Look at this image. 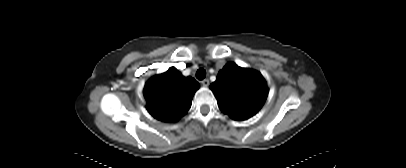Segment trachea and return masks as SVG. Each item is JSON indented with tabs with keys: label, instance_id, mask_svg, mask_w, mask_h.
<instances>
[{
	"label": "trachea",
	"instance_id": "1",
	"mask_svg": "<svg viewBox=\"0 0 406 168\" xmlns=\"http://www.w3.org/2000/svg\"><path fill=\"white\" fill-rule=\"evenodd\" d=\"M206 77V71L203 68H200L196 72V78L199 80H203Z\"/></svg>",
	"mask_w": 406,
	"mask_h": 168
}]
</instances>
